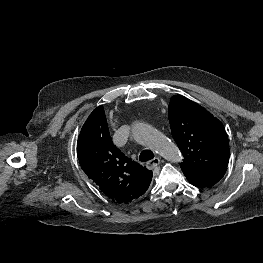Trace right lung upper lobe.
<instances>
[{
	"label": "right lung upper lobe",
	"mask_w": 263,
	"mask_h": 263,
	"mask_svg": "<svg viewBox=\"0 0 263 263\" xmlns=\"http://www.w3.org/2000/svg\"><path fill=\"white\" fill-rule=\"evenodd\" d=\"M83 171L112 201L128 204L148 189L153 173L123 154L112 142L102 106L84 123L77 142Z\"/></svg>",
	"instance_id": "1"
}]
</instances>
